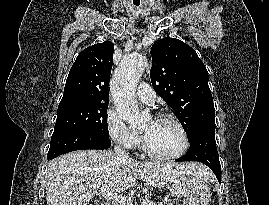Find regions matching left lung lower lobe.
<instances>
[{"mask_svg": "<svg viewBox=\"0 0 269 205\" xmlns=\"http://www.w3.org/2000/svg\"><path fill=\"white\" fill-rule=\"evenodd\" d=\"M176 161H198L207 165L221 183V166L215 141V128L200 130L192 140L186 155Z\"/></svg>", "mask_w": 269, "mask_h": 205, "instance_id": "0a47b994", "label": "left lung lower lobe"}]
</instances>
